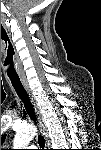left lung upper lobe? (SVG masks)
<instances>
[{
    "mask_svg": "<svg viewBox=\"0 0 101 150\" xmlns=\"http://www.w3.org/2000/svg\"><path fill=\"white\" fill-rule=\"evenodd\" d=\"M4 139H5V135H3V136L1 137V143H3Z\"/></svg>",
    "mask_w": 101,
    "mask_h": 150,
    "instance_id": "1",
    "label": "left lung upper lobe"
}]
</instances>
